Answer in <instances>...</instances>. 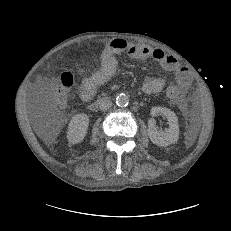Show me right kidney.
Returning <instances> with one entry per match:
<instances>
[{"mask_svg":"<svg viewBox=\"0 0 231 231\" xmlns=\"http://www.w3.org/2000/svg\"><path fill=\"white\" fill-rule=\"evenodd\" d=\"M88 125L89 117L87 114L80 113L73 116L68 125V141L72 144H77L83 141L87 134Z\"/></svg>","mask_w":231,"mask_h":231,"instance_id":"1","label":"right kidney"}]
</instances>
